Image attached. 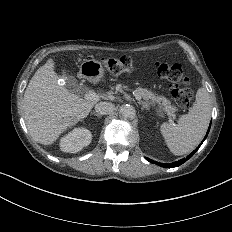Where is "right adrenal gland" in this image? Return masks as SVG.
Instances as JSON below:
<instances>
[{
    "mask_svg": "<svg viewBox=\"0 0 232 232\" xmlns=\"http://www.w3.org/2000/svg\"><path fill=\"white\" fill-rule=\"evenodd\" d=\"M90 115H95L98 118L102 117V115L100 113H97V112H91Z\"/></svg>",
    "mask_w": 232,
    "mask_h": 232,
    "instance_id": "1",
    "label": "right adrenal gland"
}]
</instances>
